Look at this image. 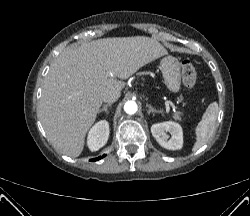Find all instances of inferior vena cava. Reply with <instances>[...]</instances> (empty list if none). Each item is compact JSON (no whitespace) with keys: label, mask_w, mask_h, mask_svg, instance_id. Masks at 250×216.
I'll list each match as a JSON object with an SVG mask.
<instances>
[{"label":"inferior vena cava","mask_w":250,"mask_h":216,"mask_svg":"<svg viewBox=\"0 0 250 216\" xmlns=\"http://www.w3.org/2000/svg\"><path fill=\"white\" fill-rule=\"evenodd\" d=\"M120 94L121 92L118 89H109L103 93L102 100L104 102L113 103L120 97Z\"/></svg>","instance_id":"602c4592"}]
</instances>
